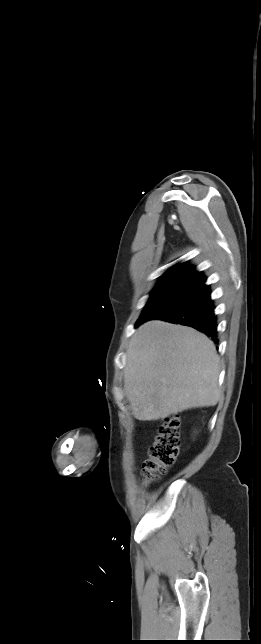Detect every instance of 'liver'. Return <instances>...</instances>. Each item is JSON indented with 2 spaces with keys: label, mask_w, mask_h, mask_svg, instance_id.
Wrapping results in <instances>:
<instances>
[{
  "label": "liver",
  "mask_w": 261,
  "mask_h": 644,
  "mask_svg": "<svg viewBox=\"0 0 261 644\" xmlns=\"http://www.w3.org/2000/svg\"><path fill=\"white\" fill-rule=\"evenodd\" d=\"M214 343L186 326L160 320L141 325L126 351L124 384L132 414L141 421L165 419L221 397Z\"/></svg>",
  "instance_id": "6515ba94"
}]
</instances>
